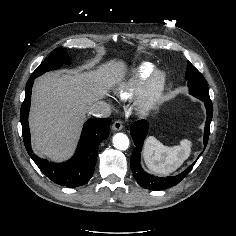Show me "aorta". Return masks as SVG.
Segmentation results:
<instances>
[{"mask_svg": "<svg viewBox=\"0 0 236 236\" xmlns=\"http://www.w3.org/2000/svg\"><path fill=\"white\" fill-rule=\"evenodd\" d=\"M113 145L116 149L126 150L129 147V139L124 133H117L113 137Z\"/></svg>", "mask_w": 236, "mask_h": 236, "instance_id": "aorta-1", "label": "aorta"}]
</instances>
